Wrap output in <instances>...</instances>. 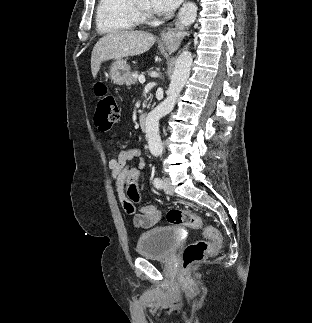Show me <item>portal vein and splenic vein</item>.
I'll use <instances>...</instances> for the list:
<instances>
[{
    "instance_id": "portal-vein-and-splenic-vein-1",
    "label": "portal vein and splenic vein",
    "mask_w": 312,
    "mask_h": 323,
    "mask_svg": "<svg viewBox=\"0 0 312 323\" xmlns=\"http://www.w3.org/2000/svg\"><path fill=\"white\" fill-rule=\"evenodd\" d=\"M138 80H139L140 84H144V82H145L144 76H139Z\"/></svg>"
}]
</instances>
